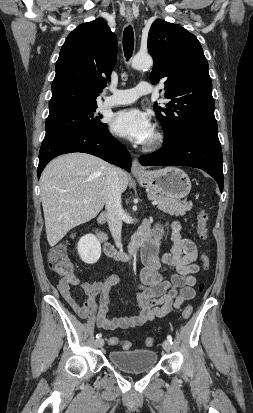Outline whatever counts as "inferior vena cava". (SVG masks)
Listing matches in <instances>:
<instances>
[{
  "instance_id": "1",
  "label": "inferior vena cava",
  "mask_w": 253,
  "mask_h": 413,
  "mask_svg": "<svg viewBox=\"0 0 253 413\" xmlns=\"http://www.w3.org/2000/svg\"><path fill=\"white\" fill-rule=\"evenodd\" d=\"M107 184L108 193L105 202L107 222L116 246L121 248L123 209L121 205L119 169L115 166H112L109 171Z\"/></svg>"
}]
</instances>
